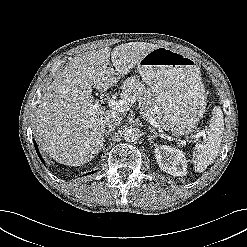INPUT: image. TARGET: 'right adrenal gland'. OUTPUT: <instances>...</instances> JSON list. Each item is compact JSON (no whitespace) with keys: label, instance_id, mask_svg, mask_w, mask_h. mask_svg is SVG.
I'll list each match as a JSON object with an SVG mask.
<instances>
[{"label":"right adrenal gland","instance_id":"1","mask_svg":"<svg viewBox=\"0 0 247 247\" xmlns=\"http://www.w3.org/2000/svg\"><path fill=\"white\" fill-rule=\"evenodd\" d=\"M111 131H113V128H110V129H108V130H106L104 132V140H103V142H106V140H105L106 138L109 139L108 138L109 137L108 135L110 134Z\"/></svg>","mask_w":247,"mask_h":247}]
</instances>
